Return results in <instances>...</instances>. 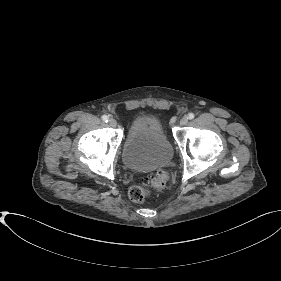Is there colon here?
<instances>
[{"instance_id": "5ec220e1", "label": "colon", "mask_w": 281, "mask_h": 281, "mask_svg": "<svg viewBox=\"0 0 281 281\" xmlns=\"http://www.w3.org/2000/svg\"><path fill=\"white\" fill-rule=\"evenodd\" d=\"M169 180L168 173L157 171L151 177L144 179L141 185H134L129 189V198L134 203H141L151 190H162L166 187Z\"/></svg>"}]
</instances>
